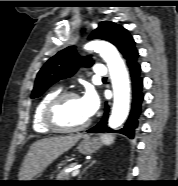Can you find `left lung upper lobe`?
<instances>
[{
	"instance_id": "1",
	"label": "left lung upper lobe",
	"mask_w": 178,
	"mask_h": 186,
	"mask_svg": "<svg viewBox=\"0 0 178 186\" xmlns=\"http://www.w3.org/2000/svg\"><path fill=\"white\" fill-rule=\"evenodd\" d=\"M89 39H103L111 42L122 53L127 61L138 54L135 42L128 31L110 21L101 22L89 36ZM91 66L93 61L88 57H79L75 46L67 47L51 57L38 72L31 98L41 96L55 82L71 77L78 65Z\"/></svg>"
}]
</instances>
